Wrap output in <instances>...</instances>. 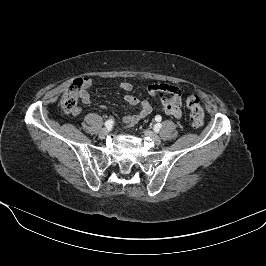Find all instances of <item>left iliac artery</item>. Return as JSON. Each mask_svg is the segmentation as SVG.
<instances>
[{
	"label": "left iliac artery",
	"mask_w": 266,
	"mask_h": 266,
	"mask_svg": "<svg viewBox=\"0 0 266 266\" xmlns=\"http://www.w3.org/2000/svg\"><path fill=\"white\" fill-rule=\"evenodd\" d=\"M156 121H161V116L157 115L155 117ZM162 127V124L161 123H157L155 126H154V130L155 131H158L160 128Z\"/></svg>",
	"instance_id": "44dca946"
}]
</instances>
